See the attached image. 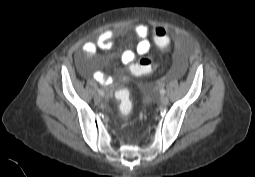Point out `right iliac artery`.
Here are the masks:
<instances>
[{
    "instance_id": "right-iliac-artery-1",
    "label": "right iliac artery",
    "mask_w": 255,
    "mask_h": 177,
    "mask_svg": "<svg viewBox=\"0 0 255 177\" xmlns=\"http://www.w3.org/2000/svg\"><path fill=\"white\" fill-rule=\"evenodd\" d=\"M98 93H99L100 96H104L103 90L99 89V90H98Z\"/></svg>"
}]
</instances>
